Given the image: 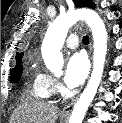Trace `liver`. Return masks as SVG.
Returning a JSON list of instances; mask_svg holds the SVG:
<instances>
[{"label": "liver", "mask_w": 122, "mask_h": 123, "mask_svg": "<svg viewBox=\"0 0 122 123\" xmlns=\"http://www.w3.org/2000/svg\"><path fill=\"white\" fill-rule=\"evenodd\" d=\"M58 113L57 106L27 101L14 111L10 123H56Z\"/></svg>", "instance_id": "6515ba94"}]
</instances>
